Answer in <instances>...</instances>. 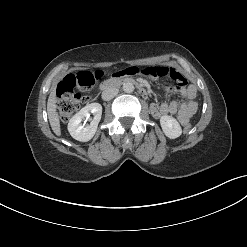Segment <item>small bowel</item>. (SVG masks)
<instances>
[{"label":"small bowel","mask_w":247,"mask_h":247,"mask_svg":"<svg viewBox=\"0 0 247 247\" xmlns=\"http://www.w3.org/2000/svg\"><path fill=\"white\" fill-rule=\"evenodd\" d=\"M115 75H140L151 79L168 77L175 82V85L170 87L169 91L178 92L186 99V102L169 101L160 105L152 104L150 111L155 118L177 114L179 123L184 126L189 123L190 119L197 112L198 104L195 101L196 90L194 86L188 85L186 78L173 67L165 65L145 67L130 66L118 71Z\"/></svg>","instance_id":"small-bowel-1"}]
</instances>
